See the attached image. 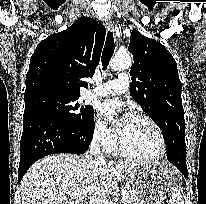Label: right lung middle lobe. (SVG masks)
I'll return each mask as SVG.
<instances>
[{"label":"right lung middle lobe","mask_w":206,"mask_h":204,"mask_svg":"<svg viewBox=\"0 0 206 204\" xmlns=\"http://www.w3.org/2000/svg\"><path fill=\"white\" fill-rule=\"evenodd\" d=\"M80 96L56 93H41L25 98L24 115L47 113L64 122L77 126H87L94 120L92 106H80Z\"/></svg>","instance_id":"dd1d6c3e"}]
</instances>
